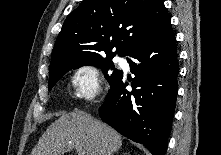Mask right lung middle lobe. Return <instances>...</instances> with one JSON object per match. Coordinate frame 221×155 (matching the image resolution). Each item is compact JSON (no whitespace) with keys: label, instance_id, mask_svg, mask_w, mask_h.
Returning <instances> with one entry per match:
<instances>
[{"label":"right lung middle lobe","instance_id":"dd1d6c3e","mask_svg":"<svg viewBox=\"0 0 221 155\" xmlns=\"http://www.w3.org/2000/svg\"><path fill=\"white\" fill-rule=\"evenodd\" d=\"M84 65H94V66L100 67L102 71L104 72L105 77L107 78L110 85L122 73V71H119L116 68H114V64L112 63L111 58H107V59L103 58V59H98V60H93V61L80 62L75 65L61 67V68H58L56 70L49 72V85H48L49 90H51L54 87V85L57 83V81H59V79L64 74H66L69 70L77 69ZM111 70H113V73L108 74V72Z\"/></svg>","mask_w":221,"mask_h":155}]
</instances>
